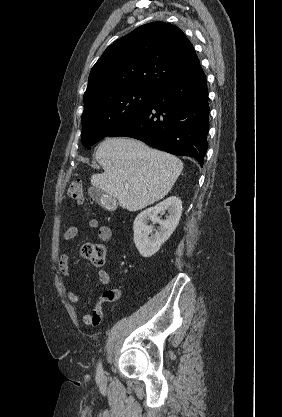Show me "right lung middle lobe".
I'll return each mask as SVG.
<instances>
[{"instance_id": "obj_1", "label": "right lung middle lobe", "mask_w": 282, "mask_h": 417, "mask_svg": "<svg viewBox=\"0 0 282 417\" xmlns=\"http://www.w3.org/2000/svg\"><path fill=\"white\" fill-rule=\"evenodd\" d=\"M156 90L127 88L108 91L84 100L82 143L87 148L118 129L141 111Z\"/></svg>"}]
</instances>
